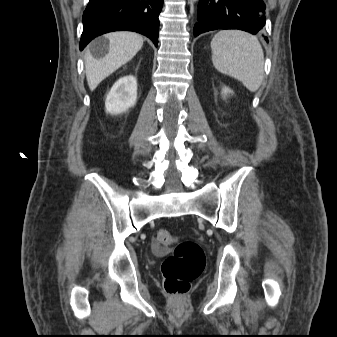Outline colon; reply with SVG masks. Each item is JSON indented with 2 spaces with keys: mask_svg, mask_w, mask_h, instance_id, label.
<instances>
[{
  "mask_svg": "<svg viewBox=\"0 0 337 337\" xmlns=\"http://www.w3.org/2000/svg\"><path fill=\"white\" fill-rule=\"evenodd\" d=\"M175 242L176 238L171 232L161 229L156 234L153 248L162 252ZM204 266L205 253L201 246L192 240L179 241L173 253L161 265L165 292L172 296L185 295L192 282L202 273Z\"/></svg>",
  "mask_w": 337,
  "mask_h": 337,
  "instance_id": "obj_1",
  "label": "colon"
}]
</instances>
